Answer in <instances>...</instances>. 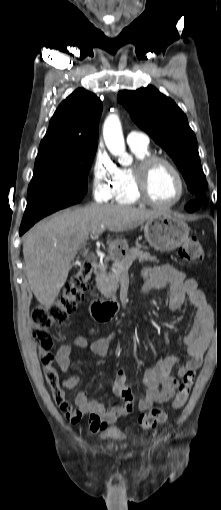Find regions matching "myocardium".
I'll list each match as a JSON object with an SVG mask.
<instances>
[{
  "mask_svg": "<svg viewBox=\"0 0 221 510\" xmlns=\"http://www.w3.org/2000/svg\"><path fill=\"white\" fill-rule=\"evenodd\" d=\"M158 164L167 165L174 172L178 179L180 187L179 194L176 199L171 202H157L151 197L149 193V177L152 169ZM134 187L136 195L141 202L156 208H170L177 205L184 199L187 190L185 179L178 166L167 157L154 154L148 155L136 163L134 167Z\"/></svg>",
  "mask_w": 221,
  "mask_h": 510,
  "instance_id": "myocardium-1",
  "label": "myocardium"
}]
</instances>
